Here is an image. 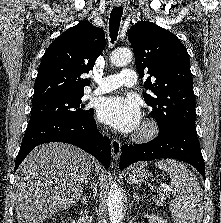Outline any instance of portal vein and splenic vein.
<instances>
[{
    "label": "portal vein and splenic vein",
    "instance_id": "1",
    "mask_svg": "<svg viewBox=\"0 0 221 223\" xmlns=\"http://www.w3.org/2000/svg\"><path fill=\"white\" fill-rule=\"evenodd\" d=\"M161 191H164L165 192L166 190L165 189H162V188H158L156 192L161 193Z\"/></svg>",
    "mask_w": 221,
    "mask_h": 223
}]
</instances>
